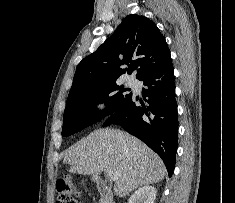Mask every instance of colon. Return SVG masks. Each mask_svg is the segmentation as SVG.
<instances>
[{"instance_id": "1", "label": "colon", "mask_w": 235, "mask_h": 203, "mask_svg": "<svg viewBox=\"0 0 235 203\" xmlns=\"http://www.w3.org/2000/svg\"><path fill=\"white\" fill-rule=\"evenodd\" d=\"M57 191L58 197L56 203H78L75 188L69 178L58 180Z\"/></svg>"}]
</instances>
